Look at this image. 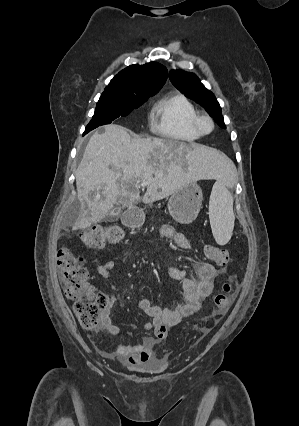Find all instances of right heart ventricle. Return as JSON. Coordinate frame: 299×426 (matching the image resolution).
<instances>
[{"instance_id":"obj_1","label":"right heart ventricle","mask_w":299,"mask_h":426,"mask_svg":"<svg viewBox=\"0 0 299 426\" xmlns=\"http://www.w3.org/2000/svg\"><path fill=\"white\" fill-rule=\"evenodd\" d=\"M198 112L194 104L181 93H171L159 99L151 114L153 131L167 139L192 142L201 135L193 122Z\"/></svg>"}]
</instances>
